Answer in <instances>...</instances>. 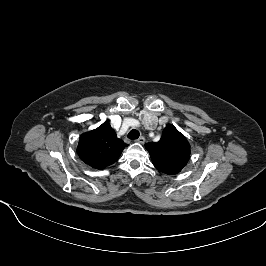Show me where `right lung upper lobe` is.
Instances as JSON below:
<instances>
[{
	"instance_id": "right-lung-upper-lobe-1",
	"label": "right lung upper lobe",
	"mask_w": 266,
	"mask_h": 266,
	"mask_svg": "<svg viewBox=\"0 0 266 266\" xmlns=\"http://www.w3.org/2000/svg\"><path fill=\"white\" fill-rule=\"evenodd\" d=\"M127 146L108 122L97 129L84 133L79 138L77 153L81 160L94 169H103L118 160Z\"/></svg>"
}]
</instances>
